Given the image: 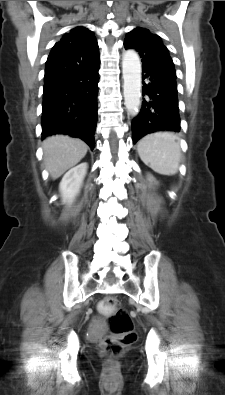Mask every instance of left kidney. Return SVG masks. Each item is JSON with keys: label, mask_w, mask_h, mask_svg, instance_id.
I'll return each instance as SVG.
<instances>
[{"label": "left kidney", "mask_w": 225, "mask_h": 395, "mask_svg": "<svg viewBox=\"0 0 225 395\" xmlns=\"http://www.w3.org/2000/svg\"><path fill=\"white\" fill-rule=\"evenodd\" d=\"M148 180H149L150 182H153V181H154L153 176L149 175Z\"/></svg>", "instance_id": "left-kidney-1"}]
</instances>
